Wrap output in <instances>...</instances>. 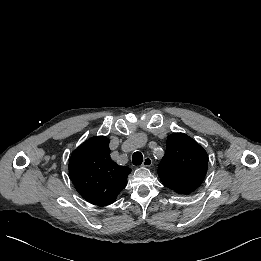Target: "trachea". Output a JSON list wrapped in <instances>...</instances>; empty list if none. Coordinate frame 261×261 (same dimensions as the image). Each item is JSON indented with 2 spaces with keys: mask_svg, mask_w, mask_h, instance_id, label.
I'll return each mask as SVG.
<instances>
[{
  "mask_svg": "<svg viewBox=\"0 0 261 261\" xmlns=\"http://www.w3.org/2000/svg\"><path fill=\"white\" fill-rule=\"evenodd\" d=\"M143 162V155L141 152H135L132 155V163L134 165H141V163Z\"/></svg>",
  "mask_w": 261,
  "mask_h": 261,
  "instance_id": "obj_1",
  "label": "trachea"
}]
</instances>
